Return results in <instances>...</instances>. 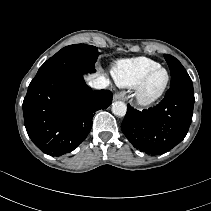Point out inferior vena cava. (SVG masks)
Instances as JSON below:
<instances>
[{
	"mask_svg": "<svg viewBox=\"0 0 211 211\" xmlns=\"http://www.w3.org/2000/svg\"><path fill=\"white\" fill-rule=\"evenodd\" d=\"M109 85V80L103 76L97 77L96 79L89 82V86L94 89H105Z\"/></svg>",
	"mask_w": 211,
	"mask_h": 211,
	"instance_id": "1",
	"label": "inferior vena cava"
}]
</instances>
